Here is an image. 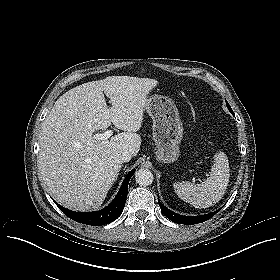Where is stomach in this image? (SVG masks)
I'll return each instance as SVG.
<instances>
[{
    "label": "stomach",
    "mask_w": 280,
    "mask_h": 280,
    "mask_svg": "<svg viewBox=\"0 0 280 280\" xmlns=\"http://www.w3.org/2000/svg\"><path fill=\"white\" fill-rule=\"evenodd\" d=\"M145 109L153 120L156 159L164 164L173 163L180 156L183 137V125L175 103L168 97L153 95L147 98Z\"/></svg>",
    "instance_id": "0dacf381"
}]
</instances>
